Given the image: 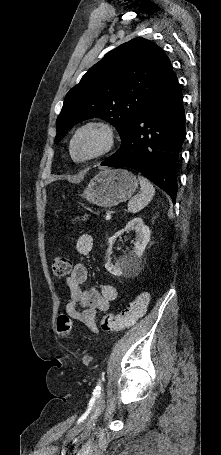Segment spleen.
I'll return each instance as SVG.
<instances>
[{
  "instance_id": "1",
  "label": "spleen",
  "mask_w": 221,
  "mask_h": 455,
  "mask_svg": "<svg viewBox=\"0 0 221 455\" xmlns=\"http://www.w3.org/2000/svg\"><path fill=\"white\" fill-rule=\"evenodd\" d=\"M138 180L141 187V194L135 195L128 202V211L130 213H137L142 210L155 194V188L147 178L139 175Z\"/></svg>"
}]
</instances>
